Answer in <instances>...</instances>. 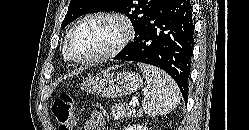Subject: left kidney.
<instances>
[{
  "label": "left kidney",
  "instance_id": "1",
  "mask_svg": "<svg viewBox=\"0 0 249 130\" xmlns=\"http://www.w3.org/2000/svg\"><path fill=\"white\" fill-rule=\"evenodd\" d=\"M126 130H148V128L146 126L133 125V126H128Z\"/></svg>",
  "mask_w": 249,
  "mask_h": 130
}]
</instances>
